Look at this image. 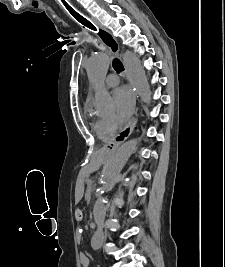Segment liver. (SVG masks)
<instances>
[{"instance_id": "1", "label": "liver", "mask_w": 225, "mask_h": 267, "mask_svg": "<svg viewBox=\"0 0 225 267\" xmlns=\"http://www.w3.org/2000/svg\"><path fill=\"white\" fill-rule=\"evenodd\" d=\"M104 158L100 151L93 153L90 164L85 168L86 172L96 171L103 163ZM83 195V187L78 186L76 190V202H78Z\"/></svg>"}]
</instances>
